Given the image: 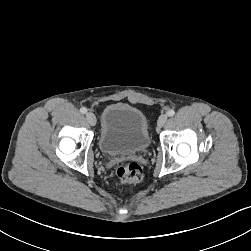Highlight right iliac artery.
I'll list each match as a JSON object with an SVG mask.
<instances>
[{"label":"right iliac artery","instance_id":"obj_1","mask_svg":"<svg viewBox=\"0 0 251 251\" xmlns=\"http://www.w3.org/2000/svg\"><path fill=\"white\" fill-rule=\"evenodd\" d=\"M80 112H81L82 114H86V113H87V109H86L85 107H82V108L80 109Z\"/></svg>","mask_w":251,"mask_h":251}]
</instances>
